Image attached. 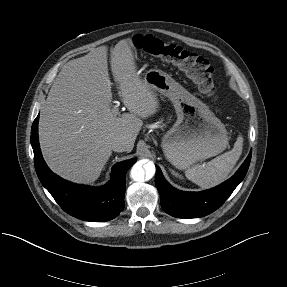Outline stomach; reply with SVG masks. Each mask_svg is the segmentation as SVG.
<instances>
[{
  "label": "stomach",
  "instance_id": "obj_1",
  "mask_svg": "<svg viewBox=\"0 0 287 287\" xmlns=\"http://www.w3.org/2000/svg\"><path fill=\"white\" fill-rule=\"evenodd\" d=\"M152 91L168 97L177 120L163 136L166 159L180 170L223 152L228 145L224 124L200 99L189 93L170 75L150 69L143 78Z\"/></svg>",
  "mask_w": 287,
  "mask_h": 287
}]
</instances>
